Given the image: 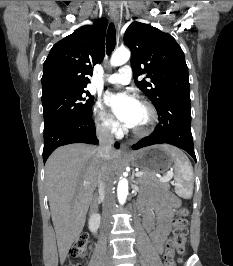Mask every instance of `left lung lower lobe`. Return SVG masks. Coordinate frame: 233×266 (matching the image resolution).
Instances as JSON below:
<instances>
[{"mask_svg":"<svg viewBox=\"0 0 233 266\" xmlns=\"http://www.w3.org/2000/svg\"><path fill=\"white\" fill-rule=\"evenodd\" d=\"M159 124L154 132L132 146L142 147L167 143L187 151L196 161L191 134L190 94H183L166 100L159 108Z\"/></svg>","mask_w":233,"mask_h":266,"instance_id":"left-lung-lower-lobe-1","label":"left lung lower lobe"}]
</instances>
